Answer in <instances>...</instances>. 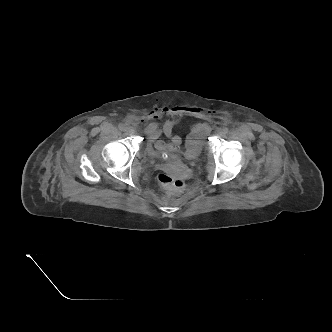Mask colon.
<instances>
[{
	"instance_id": "colon-1",
	"label": "colon",
	"mask_w": 332,
	"mask_h": 332,
	"mask_svg": "<svg viewBox=\"0 0 332 332\" xmlns=\"http://www.w3.org/2000/svg\"><path fill=\"white\" fill-rule=\"evenodd\" d=\"M157 181L159 185L169 193H179L185 187V182L182 179L166 173L158 174Z\"/></svg>"
}]
</instances>
